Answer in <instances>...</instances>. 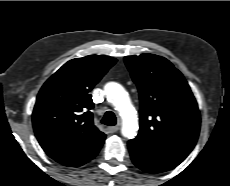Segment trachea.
I'll use <instances>...</instances> for the list:
<instances>
[{"mask_svg": "<svg viewBox=\"0 0 230 186\" xmlns=\"http://www.w3.org/2000/svg\"><path fill=\"white\" fill-rule=\"evenodd\" d=\"M101 123L108 125V126H114L116 125V116L113 112L107 111L104 115V117L101 120Z\"/></svg>", "mask_w": 230, "mask_h": 186, "instance_id": "trachea-1", "label": "trachea"}]
</instances>
